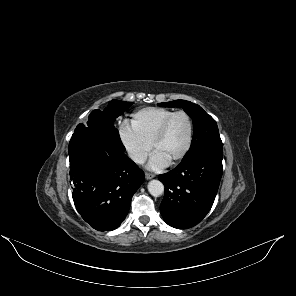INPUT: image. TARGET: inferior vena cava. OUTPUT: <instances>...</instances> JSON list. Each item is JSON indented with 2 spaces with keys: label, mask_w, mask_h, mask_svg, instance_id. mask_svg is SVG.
I'll use <instances>...</instances> for the list:
<instances>
[{
  "label": "inferior vena cava",
  "mask_w": 296,
  "mask_h": 296,
  "mask_svg": "<svg viewBox=\"0 0 296 296\" xmlns=\"http://www.w3.org/2000/svg\"><path fill=\"white\" fill-rule=\"evenodd\" d=\"M129 154V157L136 163H139V164H143L146 159H147V155L143 152H140V151H136V150H130L128 152Z\"/></svg>",
  "instance_id": "inferior-vena-cava-1"
}]
</instances>
